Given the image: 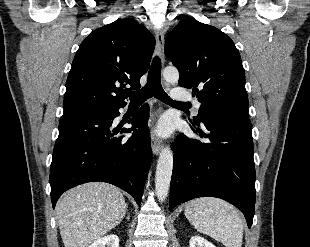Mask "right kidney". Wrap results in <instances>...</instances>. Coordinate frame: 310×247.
I'll use <instances>...</instances> for the list:
<instances>
[{
	"instance_id": "ca27d5eb",
	"label": "right kidney",
	"mask_w": 310,
	"mask_h": 247,
	"mask_svg": "<svg viewBox=\"0 0 310 247\" xmlns=\"http://www.w3.org/2000/svg\"><path fill=\"white\" fill-rule=\"evenodd\" d=\"M89 247H119V238L114 234L104 236L93 242Z\"/></svg>"
}]
</instances>
